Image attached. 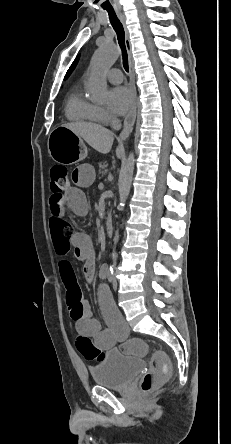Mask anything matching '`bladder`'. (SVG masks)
<instances>
[{"label":"bladder","mask_w":231,"mask_h":444,"mask_svg":"<svg viewBox=\"0 0 231 444\" xmlns=\"http://www.w3.org/2000/svg\"><path fill=\"white\" fill-rule=\"evenodd\" d=\"M143 368L141 358L127 356L121 349H113L107 351L90 371L97 385L119 389L129 384Z\"/></svg>","instance_id":"bladder-1"}]
</instances>
